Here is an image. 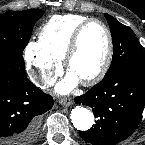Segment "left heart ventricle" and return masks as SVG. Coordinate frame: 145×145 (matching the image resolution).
Instances as JSON below:
<instances>
[{
	"label": "left heart ventricle",
	"mask_w": 145,
	"mask_h": 145,
	"mask_svg": "<svg viewBox=\"0 0 145 145\" xmlns=\"http://www.w3.org/2000/svg\"><path fill=\"white\" fill-rule=\"evenodd\" d=\"M106 50L107 37L103 28L97 23L89 24L82 33L69 73L79 80L92 75L100 67Z\"/></svg>",
	"instance_id": "obj_1"
}]
</instances>
